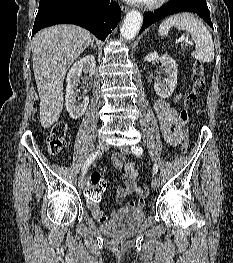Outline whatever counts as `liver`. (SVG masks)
<instances>
[{
    "mask_svg": "<svg viewBox=\"0 0 233 263\" xmlns=\"http://www.w3.org/2000/svg\"><path fill=\"white\" fill-rule=\"evenodd\" d=\"M92 41L89 31L70 24L51 26L34 36L33 71L40 97V123L44 128L59 119L67 70Z\"/></svg>",
    "mask_w": 233,
    "mask_h": 263,
    "instance_id": "6515ba94",
    "label": "liver"
}]
</instances>
